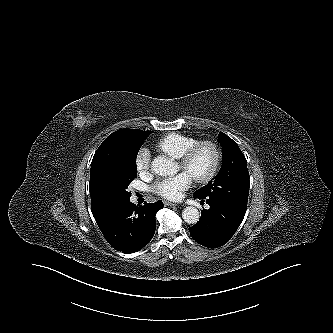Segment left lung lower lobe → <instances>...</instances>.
I'll return each mask as SVG.
<instances>
[{
  "mask_svg": "<svg viewBox=\"0 0 333 333\" xmlns=\"http://www.w3.org/2000/svg\"><path fill=\"white\" fill-rule=\"evenodd\" d=\"M199 198L210 208L201 211L199 221L189 228L192 238L199 244L217 248L227 243L242 223L246 207L220 200L216 197Z\"/></svg>",
  "mask_w": 333,
  "mask_h": 333,
  "instance_id": "0a47b994",
  "label": "left lung lower lobe"
}]
</instances>
